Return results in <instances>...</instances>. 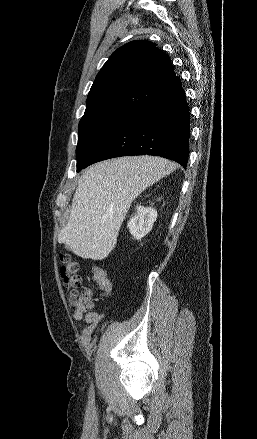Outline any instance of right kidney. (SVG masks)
<instances>
[{"mask_svg": "<svg viewBox=\"0 0 257 439\" xmlns=\"http://www.w3.org/2000/svg\"><path fill=\"white\" fill-rule=\"evenodd\" d=\"M156 218L157 211L155 208L139 205L136 207V213L129 220L127 227L131 235L136 239H141L152 230Z\"/></svg>", "mask_w": 257, "mask_h": 439, "instance_id": "obj_1", "label": "right kidney"}]
</instances>
